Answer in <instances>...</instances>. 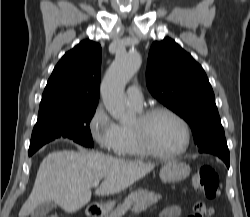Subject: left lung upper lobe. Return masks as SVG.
I'll list each match as a JSON object with an SVG mask.
<instances>
[{
	"label": "left lung upper lobe",
	"instance_id": "left-lung-upper-lobe-1",
	"mask_svg": "<svg viewBox=\"0 0 250 217\" xmlns=\"http://www.w3.org/2000/svg\"><path fill=\"white\" fill-rule=\"evenodd\" d=\"M146 83L157 100L190 125L199 148L225 136L203 68L174 40L165 38L152 44Z\"/></svg>",
	"mask_w": 250,
	"mask_h": 217
}]
</instances>
